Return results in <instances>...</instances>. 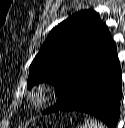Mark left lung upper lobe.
<instances>
[{"label": "left lung upper lobe", "instance_id": "obj_1", "mask_svg": "<svg viewBox=\"0 0 125 128\" xmlns=\"http://www.w3.org/2000/svg\"><path fill=\"white\" fill-rule=\"evenodd\" d=\"M114 45L97 12H77L51 30L30 65L27 86L54 85L57 102L46 111L55 112L70 103L88 71Z\"/></svg>", "mask_w": 125, "mask_h": 128}]
</instances>
